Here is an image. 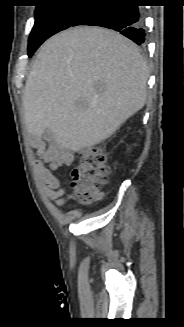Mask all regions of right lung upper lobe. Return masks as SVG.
Returning a JSON list of instances; mask_svg holds the SVG:
<instances>
[{
	"instance_id": "obj_1",
	"label": "right lung upper lobe",
	"mask_w": 184,
	"mask_h": 327,
	"mask_svg": "<svg viewBox=\"0 0 184 327\" xmlns=\"http://www.w3.org/2000/svg\"><path fill=\"white\" fill-rule=\"evenodd\" d=\"M39 1H41V2H49V1H54V0H39ZM95 1V0H94Z\"/></svg>"
}]
</instances>
